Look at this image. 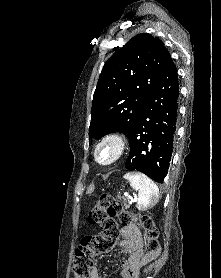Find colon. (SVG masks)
I'll list each match as a JSON object with an SVG mask.
<instances>
[{"instance_id":"5ec220e1","label":"colon","mask_w":221,"mask_h":278,"mask_svg":"<svg viewBox=\"0 0 221 278\" xmlns=\"http://www.w3.org/2000/svg\"><path fill=\"white\" fill-rule=\"evenodd\" d=\"M117 217L125 225L133 223L132 212L126 210L122 203L110 195L101 196L90 211L88 221L101 229L99 235L85 236L75 251L73 261L74 278H90L94 258L112 250L119 237ZM138 225L146 239V254L155 257L159 250L158 229L148 216L139 219Z\"/></svg>"}]
</instances>
